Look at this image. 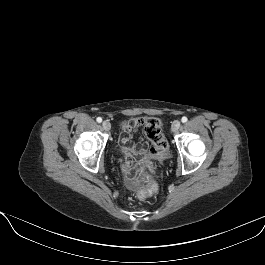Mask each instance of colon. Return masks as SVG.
Listing matches in <instances>:
<instances>
[{
  "instance_id": "1",
  "label": "colon",
  "mask_w": 265,
  "mask_h": 265,
  "mask_svg": "<svg viewBox=\"0 0 265 265\" xmlns=\"http://www.w3.org/2000/svg\"><path fill=\"white\" fill-rule=\"evenodd\" d=\"M145 134L151 143L149 153L152 157L163 156L168 150V142L161 131V123L156 118L144 120ZM139 180L144 184L145 189L139 192V197L145 199L158 191V183L148 176L144 171L138 174Z\"/></svg>"
}]
</instances>
